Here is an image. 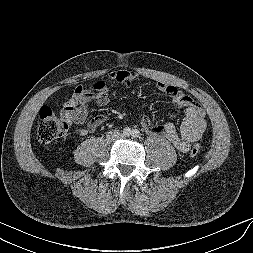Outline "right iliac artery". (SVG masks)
I'll return each mask as SVG.
<instances>
[{
  "label": "right iliac artery",
  "mask_w": 253,
  "mask_h": 253,
  "mask_svg": "<svg viewBox=\"0 0 253 253\" xmlns=\"http://www.w3.org/2000/svg\"><path fill=\"white\" fill-rule=\"evenodd\" d=\"M123 135L125 136H130L131 135V129L129 127H126L124 130H123Z\"/></svg>",
  "instance_id": "obj_1"
}]
</instances>
